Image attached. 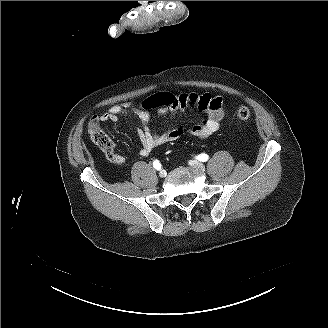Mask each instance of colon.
Returning a JSON list of instances; mask_svg holds the SVG:
<instances>
[{
	"mask_svg": "<svg viewBox=\"0 0 328 328\" xmlns=\"http://www.w3.org/2000/svg\"><path fill=\"white\" fill-rule=\"evenodd\" d=\"M177 102V95L169 92H160L146 98L142 103V108L151 109L173 106ZM236 116L239 120L245 121L251 117V112L247 107L242 106L237 110ZM88 132L95 145H97L104 153H108L113 150V142L111 138L102 130L99 117H93L90 120Z\"/></svg>",
	"mask_w": 328,
	"mask_h": 328,
	"instance_id": "obj_1",
	"label": "colon"
}]
</instances>
